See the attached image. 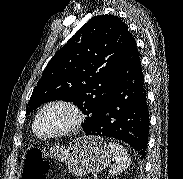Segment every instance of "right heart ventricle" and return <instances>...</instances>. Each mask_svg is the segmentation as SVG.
Listing matches in <instances>:
<instances>
[{"label":"right heart ventricle","instance_id":"obj_1","mask_svg":"<svg viewBox=\"0 0 183 179\" xmlns=\"http://www.w3.org/2000/svg\"><path fill=\"white\" fill-rule=\"evenodd\" d=\"M32 129H33V132H34L37 136H39V135L37 134L36 130H35V122H34V124H33Z\"/></svg>","mask_w":183,"mask_h":179}]
</instances>
